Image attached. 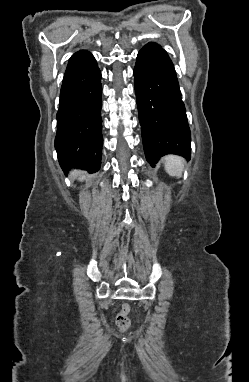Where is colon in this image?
Here are the masks:
<instances>
[{"mask_svg":"<svg viewBox=\"0 0 249 382\" xmlns=\"http://www.w3.org/2000/svg\"><path fill=\"white\" fill-rule=\"evenodd\" d=\"M129 307L123 305L122 310L118 313L116 317V325L119 329L125 330L130 326V319L128 317Z\"/></svg>","mask_w":249,"mask_h":382,"instance_id":"obj_1","label":"colon"}]
</instances>
